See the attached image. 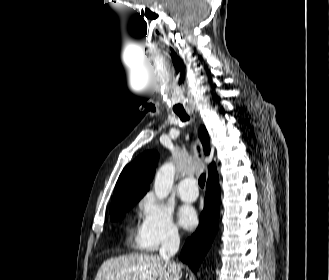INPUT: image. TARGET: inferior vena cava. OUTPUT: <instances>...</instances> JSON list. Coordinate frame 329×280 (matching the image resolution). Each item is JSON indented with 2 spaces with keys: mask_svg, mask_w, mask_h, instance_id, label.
Listing matches in <instances>:
<instances>
[{
  "mask_svg": "<svg viewBox=\"0 0 329 280\" xmlns=\"http://www.w3.org/2000/svg\"><path fill=\"white\" fill-rule=\"evenodd\" d=\"M180 245V238L177 230L170 229L164 237L161 248L159 250L160 257L166 264L171 267L180 269V265L176 264L172 257L178 252Z\"/></svg>",
  "mask_w": 329,
  "mask_h": 280,
  "instance_id": "inferior-vena-cava-1",
  "label": "inferior vena cava"
}]
</instances>
